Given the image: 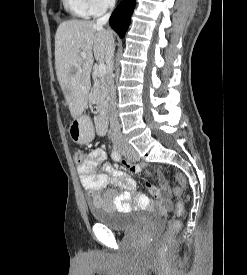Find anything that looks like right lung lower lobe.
I'll use <instances>...</instances> for the list:
<instances>
[{
	"label": "right lung lower lobe",
	"instance_id": "right-lung-lower-lobe-1",
	"mask_svg": "<svg viewBox=\"0 0 247 275\" xmlns=\"http://www.w3.org/2000/svg\"><path fill=\"white\" fill-rule=\"evenodd\" d=\"M135 4L136 0H123L109 19L110 26L121 38L124 37L128 29Z\"/></svg>",
	"mask_w": 247,
	"mask_h": 275
}]
</instances>
